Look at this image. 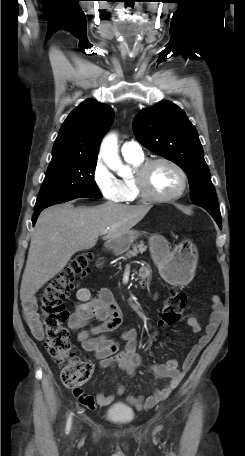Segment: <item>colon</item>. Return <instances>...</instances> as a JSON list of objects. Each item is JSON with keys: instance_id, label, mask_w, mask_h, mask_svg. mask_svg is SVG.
<instances>
[{"instance_id": "1", "label": "colon", "mask_w": 245, "mask_h": 456, "mask_svg": "<svg viewBox=\"0 0 245 456\" xmlns=\"http://www.w3.org/2000/svg\"><path fill=\"white\" fill-rule=\"evenodd\" d=\"M92 253L75 256L70 263L52 278L40 295V312L45 329V346L49 355L59 364H64L61 379L65 386L79 388L85 384L93 371L90 362L75 356L70 334L65 326L68 311L65 307L70 292L89 271ZM186 295L172 290L160 313V327L175 324L186 305Z\"/></svg>"}]
</instances>
